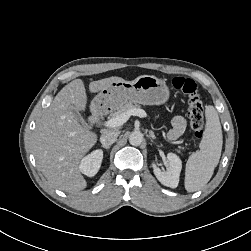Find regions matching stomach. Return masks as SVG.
I'll return each instance as SVG.
<instances>
[{"label": "stomach", "instance_id": "stomach-1", "mask_svg": "<svg viewBox=\"0 0 251 251\" xmlns=\"http://www.w3.org/2000/svg\"><path fill=\"white\" fill-rule=\"evenodd\" d=\"M165 81L153 75H141L133 81H115L100 90L91 103L94 111L117 109L127 101L143 105H160L168 101Z\"/></svg>", "mask_w": 251, "mask_h": 251}]
</instances>
